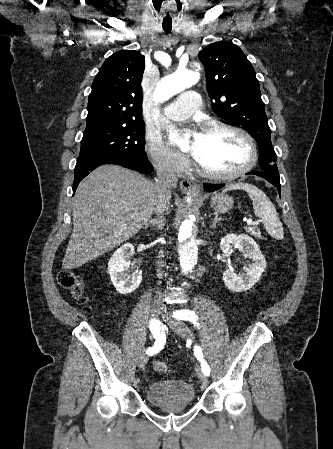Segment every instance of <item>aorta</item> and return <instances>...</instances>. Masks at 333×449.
<instances>
[{"label": "aorta", "instance_id": "obj_1", "mask_svg": "<svg viewBox=\"0 0 333 449\" xmlns=\"http://www.w3.org/2000/svg\"><path fill=\"white\" fill-rule=\"evenodd\" d=\"M201 68L200 62L190 59L187 63L186 70L176 71L165 76L156 86L154 98L156 105H161L169 100L175 94L184 90L186 87L192 86L198 82V70ZM188 144L183 142L181 149H187ZM199 194V189L194 191ZM176 238L178 242V254L180 266L184 272L191 271L198 260V237L197 228L191 219H185L176 230Z\"/></svg>", "mask_w": 333, "mask_h": 449}]
</instances>
